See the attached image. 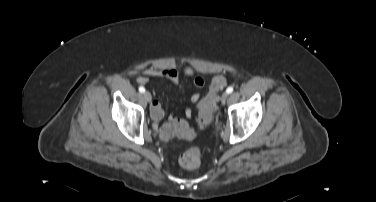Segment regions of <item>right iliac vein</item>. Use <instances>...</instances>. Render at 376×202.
<instances>
[{
    "label": "right iliac vein",
    "mask_w": 376,
    "mask_h": 202,
    "mask_svg": "<svg viewBox=\"0 0 376 202\" xmlns=\"http://www.w3.org/2000/svg\"><path fill=\"white\" fill-rule=\"evenodd\" d=\"M143 97H144V99H145L147 102H150L151 99H152L151 94H150L149 92H147V91L143 93Z\"/></svg>",
    "instance_id": "1"
}]
</instances>
